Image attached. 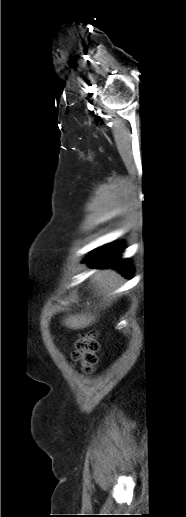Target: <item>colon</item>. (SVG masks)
Segmentation results:
<instances>
[{
    "label": "colon",
    "instance_id": "1",
    "mask_svg": "<svg viewBox=\"0 0 186 517\" xmlns=\"http://www.w3.org/2000/svg\"><path fill=\"white\" fill-rule=\"evenodd\" d=\"M99 343L97 341V332L91 330L80 335L75 344V350L72 354L74 362L78 363L83 370L90 372L97 363V351Z\"/></svg>",
    "mask_w": 186,
    "mask_h": 517
}]
</instances>
